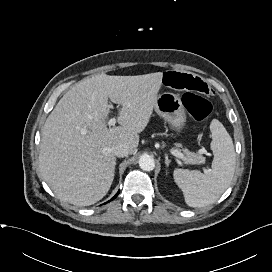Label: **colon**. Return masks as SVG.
<instances>
[{
    "label": "colon",
    "instance_id": "5ec220e1",
    "mask_svg": "<svg viewBox=\"0 0 272 272\" xmlns=\"http://www.w3.org/2000/svg\"><path fill=\"white\" fill-rule=\"evenodd\" d=\"M182 101L188 113L196 121H204L211 114L212 104L202 95L187 92L183 94Z\"/></svg>",
    "mask_w": 272,
    "mask_h": 272
}]
</instances>
